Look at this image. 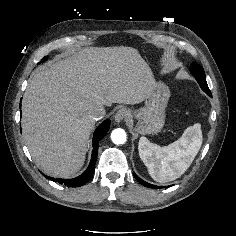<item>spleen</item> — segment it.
Instances as JSON below:
<instances>
[{
  "label": "spleen",
  "mask_w": 236,
  "mask_h": 236,
  "mask_svg": "<svg viewBox=\"0 0 236 236\" xmlns=\"http://www.w3.org/2000/svg\"><path fill=\"white\" fill-rule=\"evenodd\" d=\"M202 139L199 123L188 127L177 141L164 147L141 137L138 144L139 156L155 181H173L190 167L201 148Z\"/></svg>",
  "instance_id": "3e777b00"
}]
</instances>
